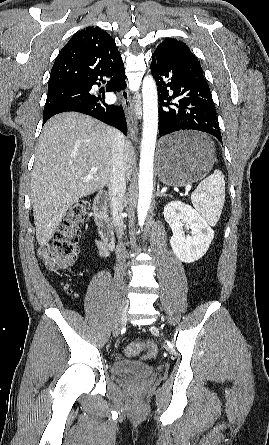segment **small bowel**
I'll use <instances>...</instances> for the list:
<instances>
[{
    "label": "small bowel",
    "mask_w": 269,
    "mask_h": 445,
    "mask_svg": "<svg viewBox=\"0 0 269 445\" xmlns=\"http://www.w3.org/2000/svg\"><path fill=\"white\" fill-rule=\"evenodd\" d=\"M99 250H100V253L102 255H106L107 254V251H106L105 247L102 244H99Z\"/></svg>",
    "instance_id": "obj_1"
}]
</instances>
